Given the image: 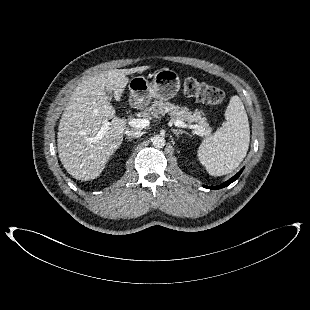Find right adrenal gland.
<instances>
[{
    "mask_svg": "<svg viewBox=\"0 0 310 310\" xmlns=\"http://www.w3.org/2000/svg\"><path fill=\"white\" fill-rule=\"evenodd\" d=\"M127 139H128V140H131L132 138H131V137H128Z\"/></svg>",
    "mask_w": 310,
    "mask_h": 310,
    "instance_id": "2a0ac1e0",
    "label": "right adrenal gland"
}]
</instances>
